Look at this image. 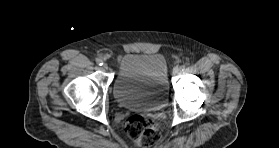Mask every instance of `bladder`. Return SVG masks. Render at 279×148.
Segmentation results:
<instances>
[{"label":"bladder","mask_w":279,"mask_h":148,"mask_svg":"<svg viewBox=\"0 0 279 148\" xmlns=\"http://www.w3.org/2000/svg\"><path fill=\"white\" fill-rule=\"evenodd\" d=\"M113 95L128 109L159 110L168 102L167 66L160 54L124 55L118 63Z\"/></svg>","instance_id":"obj_1"}]
</instances>
